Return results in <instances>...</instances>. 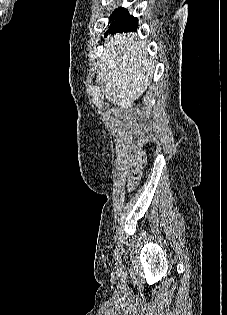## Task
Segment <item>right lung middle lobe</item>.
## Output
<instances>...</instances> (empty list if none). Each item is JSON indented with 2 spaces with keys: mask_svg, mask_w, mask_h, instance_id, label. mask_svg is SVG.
<instances>
[{
  "mask_svg": "<svg viewBox=\"0 0 227 315\" xmlns=\"http://www.w3.org/2000/svg\"><path fill=\"white\" fill-rule=\"evenodd\" d=\"M109 22H112L108 30L110 33L136 31L138 26V19L129 15L128 11L122 7L114 10L109 17Z\"/></svg>",
  "mask_w": 227,
  "mask_h": 315,
  "instance_id": "1",
  "label": "right lung middle lobe"
}]
</instances>
